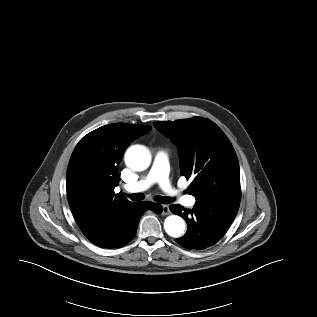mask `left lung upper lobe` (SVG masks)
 Returning a JSON list of instances; mask_svg holds the SVG:
<instances>
[{
    "mask_svg": "<svg viewBox=\"0 0 317 317\" xmlns=\"http://www.w3.org/2000/svg\"><path fill=\"white\" fill-rule=\"evenodd\" d=\"M154 126L178 147L181 175L193 181L196 200L240 204V170L235 150L224 132L201 117L157 122Z\"/></svg>",
    "mask_w": 317,
    "mask_h": 317,
    "instance_id": "5c2ea615",
    "label": "left lung upper lobe"
}]
</instances>
